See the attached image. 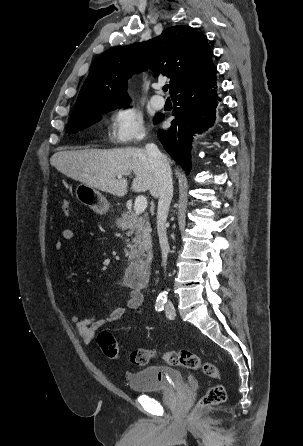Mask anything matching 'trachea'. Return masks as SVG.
<instances>
[{"instance_id":"1","label":"trachea","mask_w":303,"mask_h":446,"mask_svg":"<svg viewBox=\"0 0 303 446\" xmlns=\"http://www.w3.org/2000/svg\"><path fill=\"white\" fill-rule=\"evenodd\" d=\"M163 91H165V92L168 91V85L163 87Z\"/></svg>"}]
</instances>
